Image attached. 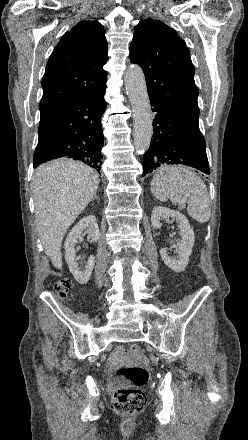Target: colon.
I'll return each mask as SVG.
<instances>
[{"mask_svg": "<svg viewBox=\"0 0 248 440\" xmlns=\"http://www.w3.org/2000/svg\"><path fill=\"white\" fill-rule=\"evenodd\" d=\"M72 287L70 278H64L55 284V291L60 299H67ZM130 354H139L141 349L137 344L126 348ZM117 378L126 381L125 385H119L114 389L112 408L115 413L130 416L141 412L146 403V396L142 387L147 383L149 373L146 368L138 365L121 367L115 372Z\"/></svg>", "mask_w": 248, "mask_h": 440, "instance_id": "colon-1", "label": "colon"}]
</instances>
